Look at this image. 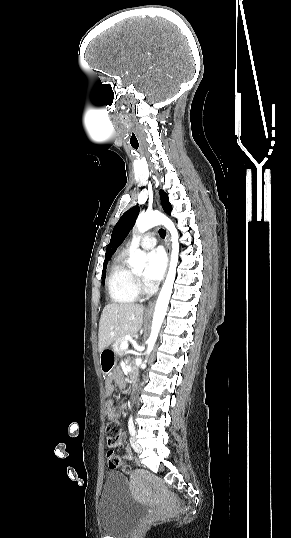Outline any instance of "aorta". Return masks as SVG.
I'll return each instance as SVG.
<instances>
[{"mask_svg":"<svg viewBox=\"0 0 291 538\" xmlns=\"http://www.w3.org/2000/svg\"><path fill=\"white\" fill-rule=\"evenodd\" d=\"M159 224L164 225L171 234L172 253L169 270L156 302L152 320L151 333L148 340L146 341L147 355H149L154 348L172 294L173 284L176 276V267L178 264L179 243L178 232L175 228V225L172 220H170L165 215L159 212H146L139 214L136 220L137 229L141 233ZM129 264L134 269L142 270L146 264V255L140 249H137L133 254H131L129 258ZM145 363L141 365L142 368L146 366Z\"/></svg>","mask_w":291,"mask_h":538,"instance_id":"obj_1","label":"aorta"}]
</instances>
